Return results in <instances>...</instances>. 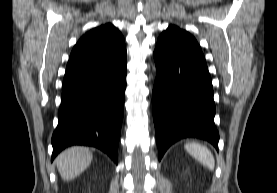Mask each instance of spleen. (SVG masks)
I'll use <instances>...</instances> for the list:
<instances>
[{
    "instance_id": "spleen-1",
    "label": "spleen",
    "mask_w": 277,
    "mask_h": 193,
    "mask_svg": "<svg viewBox=\"0 0 277 193\" xmlns=\"http://www.w3.org/2000/svg\"><path fill=\"white\" fill-rule=\"evenodd\" d=\"M185 150L201 164L213 170L215 167V159L211 151L199 144V143H188L184 146Z\"/></svg>"
}]
</instances>
